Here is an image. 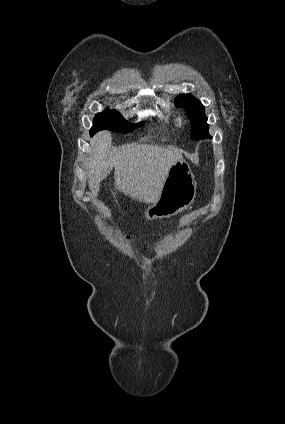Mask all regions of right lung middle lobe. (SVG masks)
I'll list each match as a JSON object with an SVG mask.
<instances>
[{
    "label": "right lung middle lobe",
    "instance_id": "1",
    "mask_svg": "<svg viewBox=\"0 0 285 424\" xmlns=\"http://www.w3.org/2000/svg\"><path fill=\"white\" fill-rule=\"evenodd\" d=\"M143 122L138 124H132L127 122L122 115L116 110H105L98 113L94 118L93 127L90 130V134L93 135L99 130H111L114 132L127 133L140 127Z\"/></svg>",
    "mask_w": 285,
    "mask_h": 424
}]
</instances>
